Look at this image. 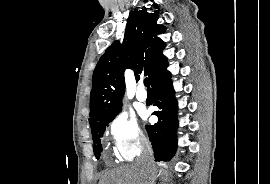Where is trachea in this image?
<instances>
[{"mask_svg":"<svg viewBox=\"0 0 270 184\" xmlns=\"http://www.w3.org/2000/svg\"><path fill=\"white\" fill-rule=\"evenodd\" d=\"M144 85L147 87V89H148V91H150L151 89H150V83H149V79L148 78H145L144 79Z\"/></svg>","mask_w":270,"mask_h":184,"instance_id":"trachea-1","label":"trachea"}]
</instances>
